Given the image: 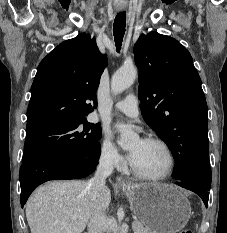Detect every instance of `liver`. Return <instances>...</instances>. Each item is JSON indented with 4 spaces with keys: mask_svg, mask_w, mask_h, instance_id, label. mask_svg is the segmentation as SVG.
<instances>
[{
    "mask_svg": "<svg viewBox=\"0 0 227 233\" xmlns=\"http://www.w3.org/2000/svg\"><path fill=\"white\" fill-rule=\"evenodd\" d=\"M110 202L107 187L94 201L85 181H52L30 196L26 218L31 233H82L92 215L96 211L105 213Z\"/></svg>",
    "mask_w": 227,
    "mask_h": 233,
    "instance_id": "obj_1",
    "label": "liver"
}]
</instances>
